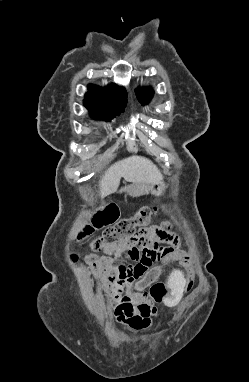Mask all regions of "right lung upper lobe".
<instances>
[{
    "instance_id": "obj_1",
    "label": "right lung upper lobe",
    "mask_w": 249,
    "mask_h": 382,
    "mask_svg": "<svg viewBox=\"0 0 249 382\" xmlns=\"http://www.w3.org/2000/svg\"><path fill=\"white\" fill-rule=\"evenodd\" d=\"M88 88L89 91L84 100L87 108L116 112L122 110L126 105V91L115 84L106 87L105 90L94 85H89Z\"/></svg>"
}]
</instances>
